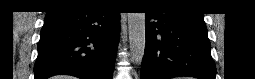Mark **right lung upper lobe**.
Masks as SVG:
<instances>
[{
	"instance_id": "cb5924a9",
	"label": "right lung upper lobe",
	"mask_w": 255,
	"mask_h": 79,
	"mask_svg": "<svg viewBox=\"0 0 255 79\" xmlns=\"http://www.w3.org/2000/svg\"><path fill=\"white\" fill-rule=\"evenodd\" d=\"M91 1H81V0H60L56 1L55 5L51 7V11L66 8V7H89ZM49 11V12H51Z\"/></svg>"
}]
</instances>
